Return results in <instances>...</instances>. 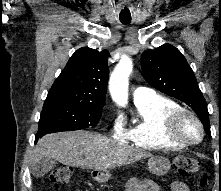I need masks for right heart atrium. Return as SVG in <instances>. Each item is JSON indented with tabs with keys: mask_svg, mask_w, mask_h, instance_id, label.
Here are the masks:
<instances>
[{
	"mask_svg": "<svg viewBox=\"0 0 221 191\" xmlns=\"http://www.w3.org/2000/svg\"><path fill=\"white\" fill-rule=\"evenodd\" d=\"M112 134L117 139H125L126 138V131H125L123 121L118 116H116L113 120Z\"/></svg>",
	"mask_w": 221,
	"mask_h": 191,
	"instance_id": "right-heart-atrium-1",
	"label": "right heart atrium"
}]
</instances>
